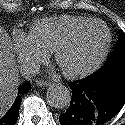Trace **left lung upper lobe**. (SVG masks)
Segmentation results:
<instances>
[{"mask_svg":"<svg viewBox=\"0 0 125 125\" xmlns=\"http://www.w3.org/2000/svg\"><path fill=\"white\" fill-rule=\"evenodd\" d=\"M122 63H125V33H121L117 45L103 67Z\"/></svg>","mask_w":125,"mask_h":125,"instance_id":"obj_1","label":"left lung upper lobe"}]
</instances>
